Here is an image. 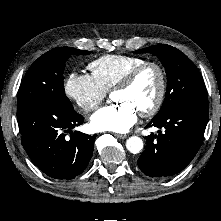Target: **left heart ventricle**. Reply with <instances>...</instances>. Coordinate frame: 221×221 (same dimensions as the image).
<instances>
[{"label":"left heart ventricle","instance_id":"b2bd125f","mask_svg":"<svg viewBox=\"0 0 221 221\" xmlns=\"http://www.w3.org/2000/svg\"><path fill=\"white\" fill-rule=\"evenodd\" d=\"M159 88V75L154 68L145 69L134 84L123 90H115L113 100L127 102L137 112L149 108L155 101Z\"/></svg>","mask_w":221,"mask_h":221}]
</instances>
